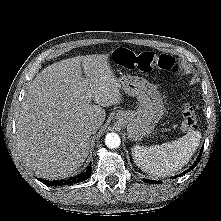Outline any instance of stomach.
Wrapping results in <instances>:
<instances>
[{
	"mask_svg": "<svg viewBox=\"0 0 221 221\" xmlns=\"http://www.w3.org/2000/svg\"><path fill=\"white\" fill-rule=\"evenodd\" d=\"M120 88L138 100L136 110H121L116 115L117 122L127 129L130 140L139 141L154 131L164 114V105L157 88L147 80L130 74L118 79Z\"/></svg>",
	"mask_w": 221,
	"mask_h": 221,
	"instance_id": "1",
	"label": "stomach"
}]
</instances>
